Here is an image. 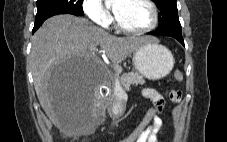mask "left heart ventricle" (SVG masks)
Segmentation results:
<instances>
[{
  "instance_id": "1",
  "label": "left heart ventricle",
  "mask_w": 227,
  "mask_h": 142,
  "mask_svg": "<svg viewBox=\"0 0 227 142\" xmlns=\"http://www.w3.org/2000/svg\"><path fill=\"white\" fill-rule=\"evenodd\" d=\"M112 9L120 23L128 28H143L151 20L150 9L144 0H115Z\"/></svg>"
}]
</instances>
